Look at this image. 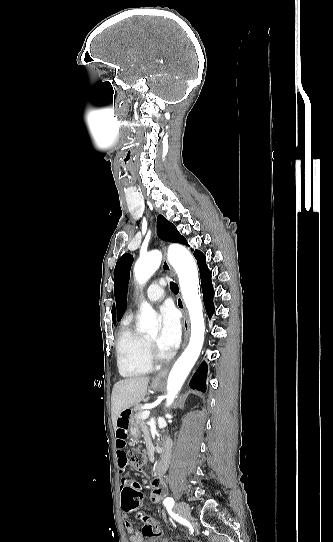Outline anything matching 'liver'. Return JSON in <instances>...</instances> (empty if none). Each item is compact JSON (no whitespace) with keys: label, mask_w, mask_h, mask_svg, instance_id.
Returning <instances> with one entry per match:
<instances>
[{"label":"liver","mask_w":333,"mask_h":542,"mask_svg":"<svg viewBox=\"0 0 333 542\" xmlns=\"http://www.w3.org/2000/svg\"><path fill=\"white\" fill-rule=\"evenodd\" d=\"M150 378L145 376H134L126 378L114 384L111 396V418L114 430H117V420L127 408L140 406L147 394V388Z\"/></svg>","instance_id":"1"}]
</instances>
